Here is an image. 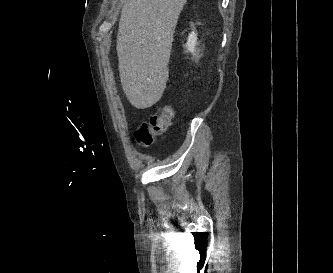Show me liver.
<instances>
[{"instance_id": "obj_1", "label": "liver", "mask_w": 333, "mask_h": 273, "mask_svg": "<svg viewBox=\"0 0 333 273\" xmlns=\"http://www.w3.org/2000/svg\"><path fill=\"white\" fill-rule=\"evenodd\" d=\"M187 0H127L121 11L117 55L123 91L137 109L156 104L169 77L178 17Z\"/></svg>"}]
</instances>
